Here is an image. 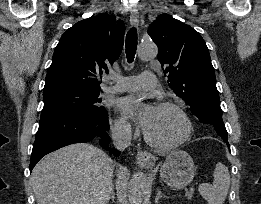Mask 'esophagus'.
Returning <instances> with one entry per match:
<instances>
[{
	"instance_id": "34e87169",
	"label": "esophagus",
	"mask_w": 261,
	"mask_h": 204,
	"mask_svg": "<svg viewBox=\"0 0 261 204\" xmlns=\"http://www.w3.org/2000/svg\"><path fill=\"white\" fill-rule=\"evenodd\" d=\"M130 23L136 27L139 24V13L137 9H133L130 14ZM155 156L148 151L139 150L137 153V163L144 168H151L155 164Z\"/></svg>"
}]
</instances>
